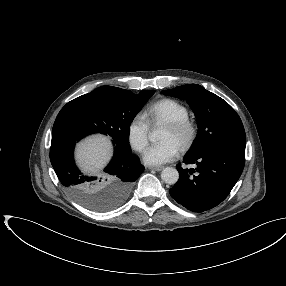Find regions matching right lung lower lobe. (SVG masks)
Listing matches in <instances>:
<instances>
[{"instance_id": "1", "label": "right lung lower lobe", "mask_w": 286, "mask_h": 286, "mask_svg": "<svg viewBox=\"0 0 286 286\" xmlns=\"http://www.w3.org/2000/svg\"><path fill=\"white\" fill-rule=\"evenodd\" d=\"M77 137L71 130L54 123L50 148L51 164L61 184L78 201L93 193L107 196L106 204L116 202L113 209L122 204L131 191L132 183L143 173L139 158L129 148L115 147L114 156L100 177L83 175L76 167L73 150ZM123 189L127 197L122 202L114 199L115 193ZM109 209V210H110Z\"/></svg>"}]
</instances>
